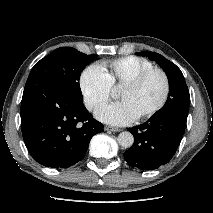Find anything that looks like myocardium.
<instances>
[{
    "instance_id": "1",
    "label": "myocardium",
    "mask_w": 213,
    "mask_h": 213,
    "mask_svg": "<svg viewBox=\"0 0 213 213\" xmlns=\"http://www.w3.org/2000/svg\"><path fill=\"white\" fill-rule=\"evenodd\" d=\"M152 74H159L162 77L163 82H164L163 95L157 104H155L152 108L145 111L141 115L137 116L136 117L137 120H143V119L153 116L165 105V103L168 100L169 94H170L169 77L164 70L153 67L151 69L140 72L139 74H137L136 76H134L133 78H131L130 80H128L127 82H125L122 85V87H124V88H135V87L139 86L147 77H149Z\"/></svg>"
}]
</instances>
